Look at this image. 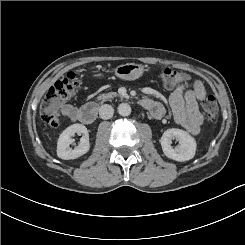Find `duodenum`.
<instances>
[{
    "label": "duodenum",
    "instance_id": "obj_1",
    "mask_svg": "<svg viewBox=\"0 0 245 245\" xmlns=\"http://www.w3.org/2000/svg\"><path fill=\"white\" fill-rule=\"evenodd\" d=\"M97 117V108L93 104H85L79 110L78 119L85 123L91 124L96 120Z\"/></svg>",
    "mask_w": 245,
    "mask_h": 245
}]
</instances>
